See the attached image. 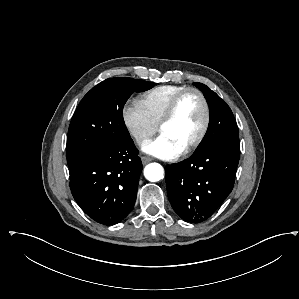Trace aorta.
Wrapping results in <instances>:
<instances>
[{"label": "aorta", "instance_id": "obj_1", "mask_svg": "<svg viewBox=\"0 0 299 299\" xmlns=\"http://www.w3.org/2000/svg\"><path fill=\"white\" fill-rule=\"evenodd\" d=\"M144 176L150 182L160 181L164 177V169L158 163H150L144 169Z\"/></svg>", "mask_w": 299, "mask_h": 299}]
</instances>
